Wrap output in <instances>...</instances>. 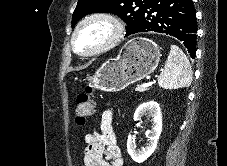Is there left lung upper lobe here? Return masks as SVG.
<instances>
[{
    "label": "left lung upper lobe",
    "instance_id": "1",
    "mask_svg": "<svg viewBox=\"0 0 227 166\" xmlns=\"http://www.w3.org/2000/svg\"><path fill=\"white\" fill-rule=\"evenodd\" d=\"M147 0H78L72 16V27L86 14L113 13L127 23L126 36L135 33L143 17Z\"/></svg>",
    "mask_w": 227,
    "mask_h": 166
}]
</instances>
